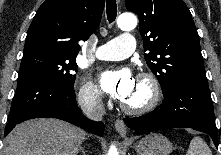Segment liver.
<instances>
[{
	"label": "liver",
	"instance_id": "6515ba94",
	"mask_svg": "<svg viewBox=\"0 0 221 155\" xmlns=\"http://www.w3.org/2000/svg\"><path fill=\"white\" fill-rule=\"evenodd\" d=\"M85 136L84 130L61 120L33 119L11 131L3 155H77Z\"/></svg>",
	"mask_w": 221,
	"mask_h": 155
}]
</instances>
